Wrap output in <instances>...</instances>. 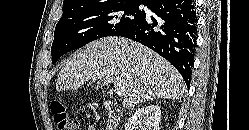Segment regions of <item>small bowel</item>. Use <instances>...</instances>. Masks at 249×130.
<instances>
[{
  "label": "small bowel",
  "instance_id": "1",
  "mask_svg": "<svg viewBox=\"0 0 249 130\" xmlns=\"http://www.w3.org/2000/svg\"><path fill=\"white\" fill-rule=\"evenodd\" d=\"M86 130H96L94 126H89Z\"/></svg>",
  "mask_w": 249,
  "mask_h": 130
}]
</instances>
